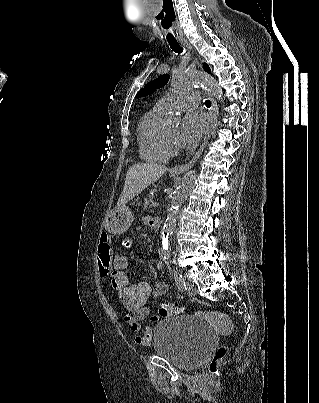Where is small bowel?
I'll list each match as a JSON object with an SVG mask.
<instances>
[{"label": "small bowel", "instance_id": "c3829d8e", "mask_svg": "<svg viewBox=\"0 0 319 403\" xmlns=\"http://www.w3.org/2000/svg\"><path fill=\"white\" fill-rule=\"evenodd\" d=\"M153 218H146L145 223H147L149 226L152 224ZM130 238L127 236H124L121 238V254L123 256H128L130 254ZM98 263H99V275L104 276L106 279V282H111V278L113 277V254L112 250L110 248V245L108 243V238L106 235H103L101 237V240L99 242L98 246ZM115 259H119V257H116ZM163 266L162 262H158L156 264V267L158 269H161ZM116 290V287H114ZM117 291V290H116ZM168 291V284L166 282H159L155 285V287L151 291L148 292V299L149 300H155L161 296H163L166 292ZM118 294V291H117ZM149 314V308L147 313H126L125 315V320L130 324L131 330L136 332L140 328V321H142L144 318H146Z\"/></svg>", "mask_w": 319, "mask_h": 403}]
</instances>
